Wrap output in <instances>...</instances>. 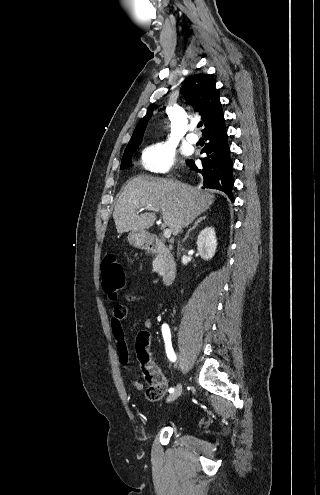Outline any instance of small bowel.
<instances>
[{
  "label": "small bowel",
  "instance_id": "1",
  "mask_svg": "<svg viewBox=\"0 0 320 495\" xmlns=\"http://www.w3.org/2000/svg\"><path fill=\"white\" fill-rule=\"evenodd\" d=\"M145 298L146 297L144 294L129 293L126 295V299L131 302L142 301ZM127 315H128V308L126 306L120 305L119 308L115 306L112 311V316L110 320L111 331L118 342V349L123 359L127 357V347L124 339V326H123V321L127 317ZM144 326L146 328H150L152 326V321L150 318H145ZM143 371H145L146 373V378L148 377L149 374L161 375L157 369L146 371L144 366H143ZM131 384L133 388L138 391H141L144 388L143 384L138 380H132Z\"/></svg>",
  "mask_w": 320,
  "mask_h": 495
}]
</instances>
